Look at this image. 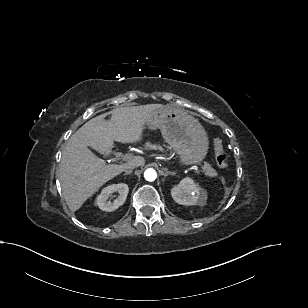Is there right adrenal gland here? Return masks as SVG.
Returning a JSON list of instances; mask_svg holds the SVG:
<instances>
[{
	"instance_id": "1",
	"label": "right adrenal gland",
	"mask_w": 308,
	"mask_h": 308,
	"mask_svg": "<svg viewBox=\"0 0 308 308\" xmlns=\"http://www.w3.org/2000/svg\"><path fill=\"white\" fill-rule=\"evenodd\" d=\"M131 174V171L124 173V175H129Z\"/></svg>"
}]
</instances>
